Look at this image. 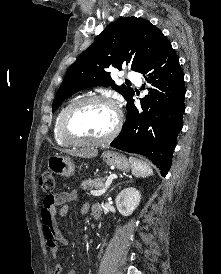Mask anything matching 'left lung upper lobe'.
<instances>
[{
  "label": "left lung upper lobe",
  "mask_w": 221,
  "mask_h": 274,
  "mask_svg": "<svg viewBox=\"0 0 221 274\" xmlns=\"http://www.w3.org/2000/svg\"><path fill=\"white\" fill-rule=\"evenodd\" d=\"M168 42L145 19L126 17L112 22L67 70L56 93L53 112L76 92L94 86L111 85L128 101L134 95L133 89L115 85L110 71L129 66L141 73Z\"/></svg>",
  "instance_id": "1"
}]
</instances>
